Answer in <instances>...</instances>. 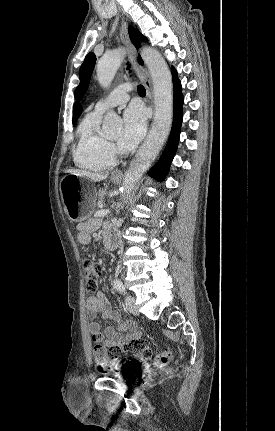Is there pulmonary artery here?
<instances>
[{
    "label": "pulmonary artery",
    "instance_id": "e3ab8cb5",
    "mask_svg": "<svg viewBox=\"0 0 275 431\" xmlns=\"http://www.w3.org/2000/svg\"><path fill=\"white\" fill-rule=\"evenodd\" d=\"M131 89L128 83L119 85L109 95L96 103L95 110L104 112L111 107L126 103L129 100V92Z\"/></svg>",
    "mask_w": 275,
    "mask_h": 431
}]
</instances>
